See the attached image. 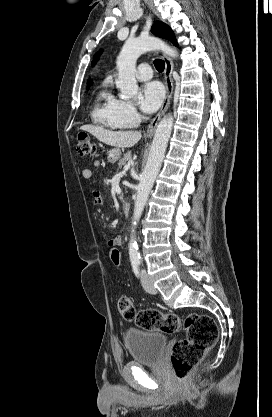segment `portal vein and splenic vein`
Wrapping results in <instances>:
<instances>
[{"mask_svg": "<svg viewBox=\"0 0 272 417\" xmlns=\"http://www.w3.org/2000/svg\"><path fill=\"white\" fill-rule=\"evenodd\" d=\"M130 169V165H125L123 171L120 174H125L126 171H128Z\"/></svg>", "mask_w": 272, "mask_h": 417, "instance_id": "18ae733b", "label": "portal vein and splenic vein"}]
</instances>
